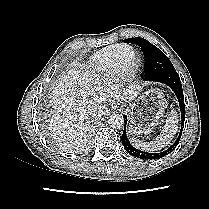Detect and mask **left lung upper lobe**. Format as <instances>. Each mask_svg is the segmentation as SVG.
I'll return each instance as SVG.
<instances>
[{
    "instance_id": "1",
    "label": "left lung upper lobe",
    "mask_w": 209,
    "mask_h": 209,
    "mask_svg": "<svg viewBox=\"0 0 209 209\" xmlns=\"http://www.w3.org/2000/svg\"><path fill=\"white\" fill-rule=\"evenodd\" d=\"M126 43L136 44L141 47L145 57V81L151 80L153 77L166 72L175 70L168 57L156 46L143 38H129Z\"/></svg>"
}]
</instances>
